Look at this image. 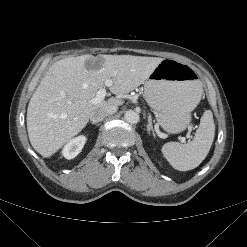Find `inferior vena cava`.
Masks as SVG:
<instances>
[{
    "label": "inferior vena cava",
    "mask_w": 247,
    "mask_h": 247,
    "mask_svg": "<svg viewBox=\"0 0 247 247\" xmlns=\"http://www.w3.org/2000/svg\"><path fill=\"white\" fill-rule=\"evenodd\" d=\"M117 111L116 106H111L102 110H95L90 114V120L94 123L102 121L106 116L112 115Z\"/></svg>",
    "instance_id": "obj_1"
}]
</instances>
